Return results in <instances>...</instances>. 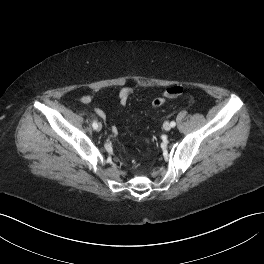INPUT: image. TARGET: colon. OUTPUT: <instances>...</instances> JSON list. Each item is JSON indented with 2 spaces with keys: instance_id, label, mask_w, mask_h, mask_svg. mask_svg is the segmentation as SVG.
Listing matches in <instances>:
<instances>
[{
  "instance_id": "obj_1",
  "label": "colon",
  "mask_w": 264,
  "mask_h": 264,
  "mask_svg": "<svg viewBox=\"0 0 264 264\" xmlns=\"http://www.w3.org/2000/svg\"><path fill=\"white\" fill-rule=\"evenodd\" d=\"M164 102H165V99L163 97H156L153 99L152 104L155 107H159V106L163 105ZM191 102H193V100H191Z\"/></svg>"
}]
</instances>
